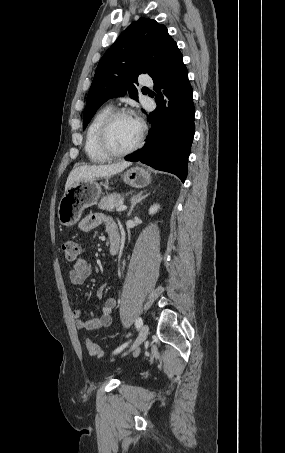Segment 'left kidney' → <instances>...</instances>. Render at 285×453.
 <instances>
[{
  "instance_id": "1",
  "label": "left kidney",
  "mask_w": 285,
  "mask_h": 453,
  "mask_svg": "<svg viewBox=\"0 0 285 453\" xmlns=\"http://www.w3.org/2000/svg\"><path fill=\"white\" fill-rule=\"evenodd\" d=\"M160 208V206L158 204H154L153 206H151V208L149 209V214L150 215H153L155 214L158 209Z\"/></svg>"
}]
</instances>
